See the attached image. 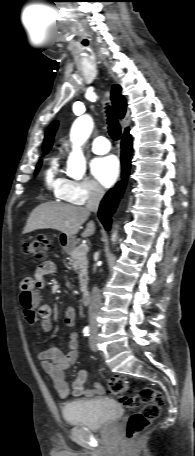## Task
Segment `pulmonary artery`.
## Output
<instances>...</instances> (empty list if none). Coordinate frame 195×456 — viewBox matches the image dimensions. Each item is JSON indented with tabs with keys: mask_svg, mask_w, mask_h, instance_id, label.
<instances>
[{
	"mask_svg": "<svg viewBox=\"0 0 195 456\" xmlns=\"http://www.w3.org/2000/svg\"><path fill=\"white\" fill-rule=\"evenodd\" d=\"M111 146L107 138L100 136L94 139L91 144V149L96 154H105L110 150Z\"/></svg>",
	"mask_w": 195,
	"mask_h": 456,
	"instance_id": "obj_1",
	"label": "pulmonary artery"
}]
</instances>
